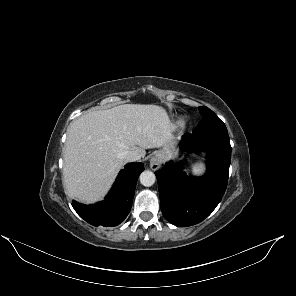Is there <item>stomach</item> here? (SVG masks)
I'll list each match as a JSON object with an SVG mask.
<instances>
[{"label": "stomach", "instance_id": "1", "mask_svg": "<svg viewBox=\"0 0 296 296\" xmlns=\"http://www.w3.org/2000/svg\"><path fill=\"white\" fill-rule=\"evenodd\" d=\"M164 160L170 159L176 155V149L174 147V142L172 141L168 147L163 148L159 151Z\"/></svg>", "mask_w": 296, "mask_h": 296}]
</instances>
